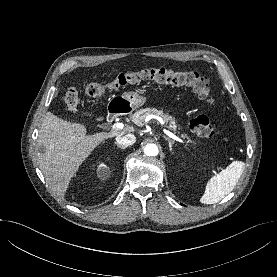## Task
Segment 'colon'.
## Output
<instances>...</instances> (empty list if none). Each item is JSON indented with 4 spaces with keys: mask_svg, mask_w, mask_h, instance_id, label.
Instances as JSON below:
<instances>
[{
    "mask_svg": "<svg viewBox=\"0 0 277 277\" xmlns=\"http://www.w3.org/2000/svg\"><path fill=\"white\" fill-rule=\"evenodd\" d=\"M141 81H153L162 85L190 88L201 100L213 103L215 94L208 80L197 72L174 71L164 66L126 71L117 74L106 83L91 82L84 86L87 95L97 97L109 90L139 83ZM79 93L75 87H70L64 97L66 109L75 112L79 105ZM190 129L197 136L211 138L221 133L220 124L212 123L205 115H200L190 121Z\"/></svg>",
    "mask_w": 277,
    "mask_h": 277,
    "instance_id": "1",
    "label": "colon"
}]
</instances>
